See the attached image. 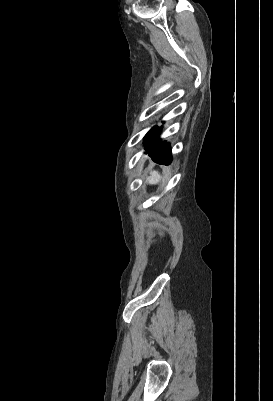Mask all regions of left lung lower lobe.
Instances as JSON below:
<instances>
[{
    "mask_svg": "<svg viewBox=\"0 0 273 401\" xmlns=\"http://www.w3.org/2000/svg\"><path fill=\"white\" fill-rule=\"evenodd\" d=\"M160 128L154 127L145 136L147 146L145 154H149L153 161L162 165H169L172 161L169 143L157 139L156 134Z\"/></svg>",
    "mask_w": 273,
    "mask_h": 401,
    "instance_id": "left-lung-lower-lobe-1",
    "label": "left lung lower lobe"
}]
</instances>
